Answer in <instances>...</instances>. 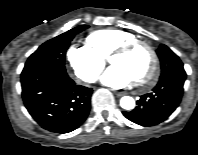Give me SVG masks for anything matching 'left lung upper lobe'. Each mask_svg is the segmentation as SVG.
Listing matches in <instances>:
<instances>
[{"label": "left lung upper lobe", "instance_id": "1", "mask_svg": "<svg viewBox=\"0 0 198 155\" xmlns=\"http://www.w3.org/2000/svg\"><path fill=\"white\" fill-rule=\"evenodd\" d=\"M156 52L161 62L160 78L177 72H185L183 63L179 57L173 53L166 45H160ZM141 116L143 118H148L150 117V114L148 112H142Z\"/></svg>", "mask_w": 198, "mask_h": 155}]
</instances>
